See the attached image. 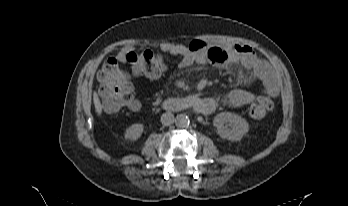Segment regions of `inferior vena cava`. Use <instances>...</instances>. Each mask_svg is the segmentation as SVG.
I'll list each match as a JSON object with an SVG mask.
<instances>
[{
    "instance_id": "obj_1",
    "label": "inferior vena cava",
    "mask_w": 348,
    "mask_h": 206,
    "mask_svg": "<svg viewBox=\"0 0 348 206\" xmlns=\"http://www.w3.org/2000/svg\"><path fill=\"white\" fill-rule=\"evenodd\" d=\"M174 120V115L170 112H166L161 116V122L164 125H169Z\"/></svg>"
}]
</instances>
